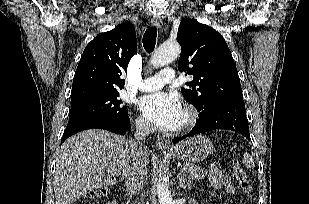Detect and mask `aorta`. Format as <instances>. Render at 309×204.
Masks as SVG:
<instances>
[{"label":"aorta","mask_w":309,"mask_h":204,"mask_svg":"<svg viewBox=\"0 0 309 204\" xmlns=\"http://www.w3.org/2000/svg\"><path fill=\"white\" fill-rule=\"evenodd\" d=\"M180 52L181 47L177 42H165L152 55L150 64L155 68L165 66L174 61ZM157 193L159 204H172L171 191L164 178L158 183Z\"/></svg>","instance_id":"obj_1"}]
</instances>
